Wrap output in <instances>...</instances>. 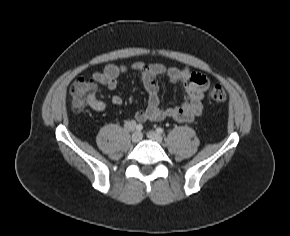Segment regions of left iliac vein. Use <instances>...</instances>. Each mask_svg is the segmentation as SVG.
I'll use <instances>...</instances> for the list:
<instances>
[{"label":"left iliac vein","mask_w":290,"mask_h":236,"mask_svg":"<svg viewBox=\"0 0 290 236\" xmlns=\"http://www.w3.org/2000/svg\"><path fill=\"white\" fill-rule=\"evenodd\" d=\"M147 137L150 140L155 141L157 143H161L163 141V137L161 136V134H159L158 132H155V131H149L147 133Z\"/></svg>","instance_id":"obj_1"}]
</instances>
